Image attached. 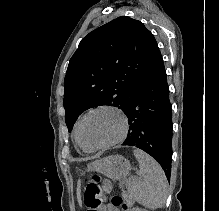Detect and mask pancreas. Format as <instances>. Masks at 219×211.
Instances as JSON below:
<instances>
[{
	"mask_svg": "<svg viewBox=\"0 0 219 211\" xmlns=\"http://www.w3.org/2000/svg\"><path fill=\"white\" fill-rule=\"evenodd\" d=\"M127 203H132V201H134V199H131L130 195H127V193H123Z\"/></svg>",
	"mask_w": 219,
	"mask_h": 211,
	"instance_id": "cf45deb5",
	"label": "pancreas"
}]
</instances>
